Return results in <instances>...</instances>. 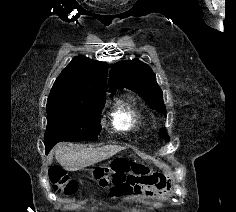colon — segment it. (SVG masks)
I'll return each mask as SVG.
<instances>
[{"label":"colon","instance_id":"5ec220e1","mask_svg":"<svg viewBox=\"0 0 236 212\" xmlns=\"http://www.w3.org/2000/svg\"><path fill=\"white\" fill-rule=\"evenodd\" d=\"M140 169L139 166L120 159L112 162L109 166L97 169L93 177L99 186L106 187L110 184L114 185L118 175H138L139 172L143 174ZM131 171L134 174H131ZM49 178L54 189L60 193L71 195L77 190V182L66 175L60 167L51 168Z\"/></svg>","mask_w":236,"mask_h":212}]
</instances>
